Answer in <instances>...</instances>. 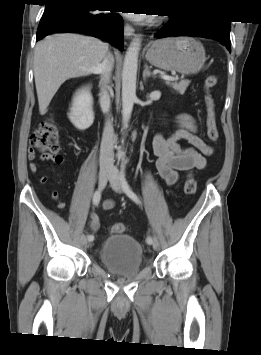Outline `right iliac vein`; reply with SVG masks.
Returning a JSON list of instances; mask_svg holds the SVG:
<instances>
[{"mask_svg": "<svg viewBox=\"0 0 261 355\" xmlns=\"http://www.w3.org/2000/svg\"><path fill=\"white\" fill-rule=\"evenodd\" d=\"M111 175V170L110 169H101L99 172V186L103 188L108 180V178ZM80 241L82 244L87 245L88 241L85 235H82L80 238ZM90 242V241H89Z\"/></svg>", "mask_w": 261, "mask_h": 355, "instance_id": "1", "label": "right iliac vein"}]
</instances>
